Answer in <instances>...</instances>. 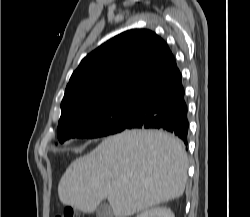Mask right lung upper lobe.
I'll return each mask as SVG.
<instances>
[{"mask_svg": "<svg viewBox=\"0 0 250 217\" xmlns=\"http://www.w3.org/2000/svg\"><path fill=\"white\" fill-rule=\"evenodd\" d=\"M176 69L169 47L154 32H123L88 54L73 72L59 122L87 109L134 100Z\"/></svg>", "mask_w": 250, "mask_h": 217, "instance_id": "right-lung-upper-lobe-1", "label": "right lung upper lobe"}]
</instances>
